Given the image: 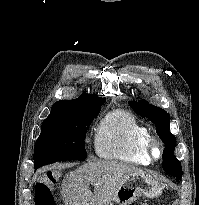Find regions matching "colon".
Returning a JSON list of instances; mask_svg holds the SVG:
<instances>
[{"instance_id": "colon-1", "label": "colon", "mask_w": 199, "mask_h": 205, "mask_svg": "<svg viewBox=\"0 0 199 205\" xmlns=\"http://www.w3.org/2000/svg\"><path fill=\"white\" fill-rule=\"evenodd\" d=\"M48 180L53 181L54 176L48 175ZM36 205H56L50 187L42 182L37 183L36 186Z\"/></svg>"}]
</instances>
